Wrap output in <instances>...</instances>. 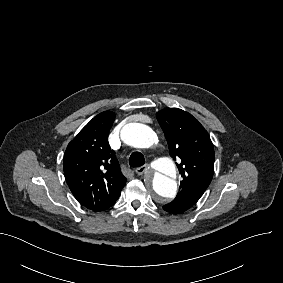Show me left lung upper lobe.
Returning <instances> with one entry per match:
<instances>
[{"label": "left lung upper lobe", "mask_w": 283, "mask_h": 283, "mask_svg": "<svg viewBox=\"0 0 283 283\" xmlns=\"http://www.w3.org/2000/svg\"><path fill=\"white\" fill-rule=\"evenodd\" d=\"M157 120L165 134L171 157L182 176L179 193L171 203L195 204L209 186L214 172V148L204 127L191 114L178 108L158 112Z\"/></svg>", "instance_id": "1"}]
</instances>
